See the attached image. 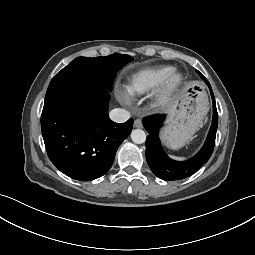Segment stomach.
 <instances>
[{
	"label": "stomach",
	"instance_id": "0dacf381",
	"mask_svg": "<svg viewBox=\"0 0 255 255\" xmlns=\"http://www.w3.org/2000/svg\"><path fill=\"white\" fill-rule=\"evenodd\" d=\"M208 111V98L199 83L187 85L181 94L179 110L164 127L161 138L170 149H180L189 143Z\"/></svg>",
	"mask_w": 255,
	"mask_h": 255
}]
</instances>
